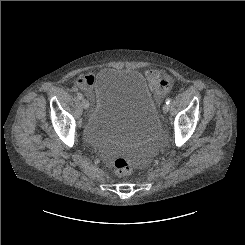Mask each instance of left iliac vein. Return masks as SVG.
Wrapping results in <instances>:
<instances>
[{
    "label": "left iliac vein",
    "instance_id": "left-iliac-vein-1",
    "mask_svg": "<svg viewBox=\"0 0 245 245\" xmlns=\"http://www.w3.org/2000/svg\"><path fill=\"white\" fill-rule=\"evenodd\" d=\"M169 109H170V107H169L168 104H165V105L163 106V112H164V113H168Z\"/></svg>",
    "mask_w": 245,
    "mask_h": 245
}]
</instances>
